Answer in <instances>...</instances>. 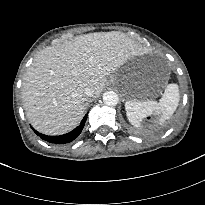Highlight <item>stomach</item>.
I'll list each match as a JSON object with an SVG mask.
<instances>
[{"label": "stomach", "instance_id": "1", "mask_svg": "<svg viewBox=\"0 0 205 205\" xmlns=\"http://www.w3.org/2000/svg\"><path fill=\"white\" fill-rule=\"evenodd\" d=\"M110 82L127 101H143L156 98L166 86L167 80L149 81L144 77L141 66L130 62L116 72Z\"/></svg>", "mask_w": 205, "mask_h": 205}]
</instances>
